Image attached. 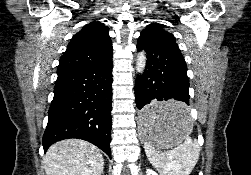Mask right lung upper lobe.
<instances>
[{
  "label": "right lung upper lobe",
  "instance_id": "obj_1",
  "mask_svg": "<svg viewBox=\"0 0 251 175\" xmlns=\"http://www.w3.org/2000/svg\"><path fill=\"white\" fill-rule=\"evenodd\" d=\"M108 30L99 21L85 25L70 40L57 72L105 63L113 54Z\"/></svg>",
  "mask_w": 251,
  "mask_h": 175
}]
</instances>
